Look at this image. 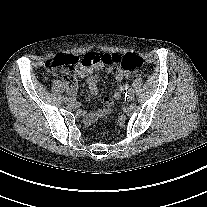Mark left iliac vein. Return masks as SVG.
I'll list each match as a JSON object with an SVG mask.
<instances>
[{"label":"left iliac vein","instance_id":"left-iliac-vein-1","mask_svg":"<svg viewBox=\"0 0 207 207\" xmlns=\"http://www.w3.org/2000/svg\"><path fill=\"white\" fill-rule=\"evenodd\" d=\"M126 100L128 101V102H131L132 100H134V96H127L126 97Z\"/></svg>","mask_w":207,"mask_h":207}]
</instances>
